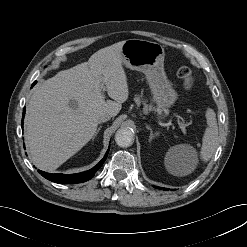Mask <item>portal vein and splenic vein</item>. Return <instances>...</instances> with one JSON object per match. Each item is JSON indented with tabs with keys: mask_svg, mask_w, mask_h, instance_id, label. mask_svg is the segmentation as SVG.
<instances>
[{
	"mask_svg": "<svg viewBox=\"0 0 247 247\" xmlns=\"http://www.w3.org/2000/svg\"><path fill=\"white\" fill-rule=\"evenodd\" d=\"M177 123H178L180 129L182 130V132L185 133L186 132L185 125L182 122H180L179 120H177Z\"/></svg>",
	"mask_w": 247,
	"mask_h": 247,
	"instance_id": "1",
	"label": "portal vein and splenic vein"
}]
</instances>
